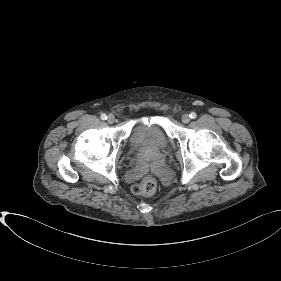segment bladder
<instances>
[{"label":"bladder","instance_id":"31cf9c89","mask_svg":"<svg viewBox=\"0 0 281 281\" xmlns=\"http://www.w3.org/2000/svg\"><path fill=\"white\" fill-rule=\"evenodd\" d=\"M168 145L163 129L150 120L137 121L129 136V152L146 160L161 157L167 151Z\"/></svg>","mask_w":281,"mask_h":281}]
</instances>
